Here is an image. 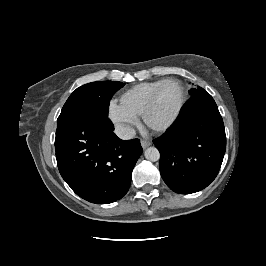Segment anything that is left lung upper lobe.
<instances>
[{
  "label": "left lung upper lobe",
  "mask_w": 266,
  "mask_h": 266,
  "mask_svg": "<svg viewBox=\"0 0 266 266\" xmlns=\"http://www.w3.org/2000/svg\"><path fill=\"white\" fill-rule=\"evenodd\" d=\"M203 92H206V90H204L203 88L199 87L198 89H192L190 91V94L193 97V96H196V95H198L200 93H203Z\"/></svg>",
  "instance_id": "5c2ea615"
}]
</instances>
